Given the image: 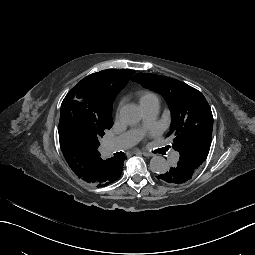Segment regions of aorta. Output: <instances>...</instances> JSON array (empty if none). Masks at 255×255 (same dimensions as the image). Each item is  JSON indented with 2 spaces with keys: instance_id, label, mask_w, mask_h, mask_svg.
<instances>
[{
  "instance_id": "aorta-1",
  "label": "aorta",
  "mask_w": 255,
  "mask_h": 255,
  "mask_svg": "<svg viewBox=\"0 0 255 255\" xmlns=\"http://www.w3.org/2000/svg\"><path fill=\"white\" fill-rule=\"evenodd\" d=\"M121 119L130 125L136 124L142 117L141 110L134 104H127L120 110ZM150 168L154 173L163 174L168 171V164L164 157L154 156L150 160Z\"/></svg>"
}]
</instances>
